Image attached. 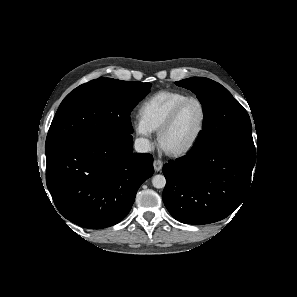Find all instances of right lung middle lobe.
Wrapping results in <instances>:
<instances>
[{"instance_id":"dd1d6c3e","label":"right lung middle lobe","mask_w":297,"mask_h":297,"mask_svg":"<svg viewBox=\"0 0 297 297\" xmlns=\"http://www.w3.org/2000/svg\"><path fill=\"white\" fill-rule=\"evenodd\" d=\"M151 84L98 78L71 91L60 104L45 144L46 156L100 136L131 135L130 112Z\"/></svg>"}]
</instances>
